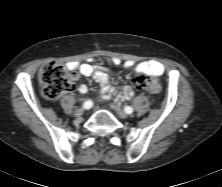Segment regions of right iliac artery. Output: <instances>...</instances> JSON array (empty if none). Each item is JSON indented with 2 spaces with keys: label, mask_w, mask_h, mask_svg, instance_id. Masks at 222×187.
I'll use <instances>...</instances> for the list:
<instances>
[{
  "label": "right iliac artery",
  "mask_w": 222,
  "mask_h": 187,
  "mask_svg": "<svg viewBox=\"0 0 222 187\" xmlns=\"http://www.w3.org/2000/svg\"><path fill=\"white\" fill-rule=\"evenodd\" d=\"M92 105H93L92 101L88 100V101L84 102L83 107L85 109H90L92 107Z\"/></svg>",
  "instance_id": "obj_1"
}]
</instances>
